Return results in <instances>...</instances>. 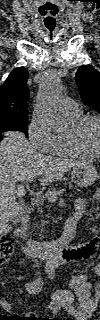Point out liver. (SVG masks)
<instances>
[{"label": "liver", "instance_id": "obj_1", "mask_svg": "<svg viewBox=\"0 0 100 320\" xmlns=\"http://www.w3.org/2000/svg\"><path fill=\"white\" fill-rule=\"evenodd\" d=\"M84 161L45 156L34 149L22 132L10 131L0 143V222L7 227L9 219L20 212L25 194L24 185L16 186L21 179L39 178L41 185L61 179L71 168ZM42 176V178H41Z\"/></svg>", "mask_w": 100, "mask_h": 320}]
</instances>
